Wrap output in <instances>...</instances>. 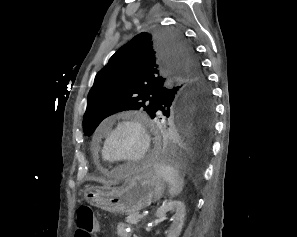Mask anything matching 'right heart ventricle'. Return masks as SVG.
Instances as JSON below:
<instances>
[{
    "label": "right heart ventricle",
    "instance_id": "1",
    "mask_svg": "<svg viewBox=\"0 0 297 237\" xmlns=\"http://www.w3.org/2000/svg\"><path fill=\"white\" fill-rule=\"evenodd\" d=\"M102 157L104 159V161L108 162V163H112L106 156V154L104 153L103 149H102Z\"/></svg>",
    "mask_w": 297,
    "mask_h": 237
}]
</instances>
